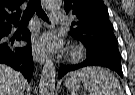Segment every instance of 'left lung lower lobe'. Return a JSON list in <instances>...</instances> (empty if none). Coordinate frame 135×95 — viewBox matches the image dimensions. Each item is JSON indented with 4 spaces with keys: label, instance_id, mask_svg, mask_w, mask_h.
<instances>
[{
    "label": "left lung lower lobe",
    "instance_id": "left-lung-lower-lobe-1",
    "mask_svg": "<svg viewBox=\"0 0 135 95\" xmlns=\"http://www.w3.org/2000/svg\"><path fill=\"white\" fill-rule=\"evenodd\" d=\"M121 55L118 47L115 45L100 46L93 49H87V59L82 63L75 65H60L58 72L59 79L66 73L86 66H103L117 72L123 76L121 69Z\"/></svg>",
    "mask_w": 135,
    "mask_h": 95
}]
</instances>
